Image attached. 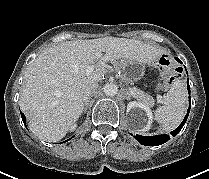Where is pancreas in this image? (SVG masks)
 Listing matches in <instances>:
<instances>
[{"instance_id":"obj_1","label":"pancreas","mask_w":209,"mask_h":179,"mask_svg":"<svg viewBox=\"0 0 209 179\" xmlns=\"http://www.w3.org/2000/svg\"><path fill=\"white\" fill-rule=\"evenodd\" d=\"M114 68L117 69V65H114ZM131 94L137 101L141 103H144L149 106H153L154 104V99L152 98V96L136 87L132 88Z\"/></svg>"}]
</instances>
